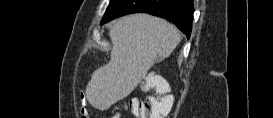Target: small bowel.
<instances>
[{
	"instance_id": "small-bowel-1",
	"label": "small bowel",
	"mask_w": 273,
	"mask_h": 118,
	"mask_svg": "<svg viewBox=\"0 0 273 118\" xmlns=\"http://www.w3.org/2000/svg\"><path fill=\"white\" fill-rule=\"evenodd\" d=\"M82 100H84V98H82ZM81 114H82V116H84V115L87 116V112L84 109H82Z\"/></svg>"
}]
</instances>
